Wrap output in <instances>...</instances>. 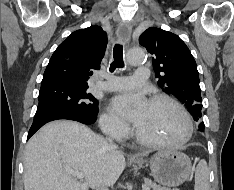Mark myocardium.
I'll return each instance as SVG.
<instances>
[{
    "mask_svg": "<svg viewBox=\"0 0 234 190\" xmlns=\"http://www.w3.org/2000/svg\"><path fill=\"white\" fill-rule=\"evenodd\" d=\"M158 101H163L167 102L170 105H172L174 108H176L179 113L181 114L184 122H185V132L182 137L179 139H174V140H156V139H149L145 136H143L140 131L138 130L137 127H135V136L137 140L147 146H152V147H159V146H172V147H178L181 145H184L187 143L192 135H193V123L191 120V117L185 107L177 101L175 98L167 95V94H155L150 98V102H158Z\"/></svg>",
    "mask_w": 234,
    "mask_h": 190,
    "instance_id": "f54148a6",
    "label": "myocardium"
}]
</instances>
